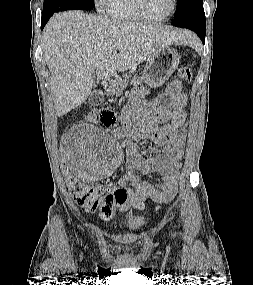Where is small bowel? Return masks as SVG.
<instances>
[{
	"instance_id": "1",
	"label": "small bowel",
	"mask_w": 253,
	"mask_h": 285,
	"mask_svg": "<svg viewBox=\"0 0 253 285\" xmlns=\"http://www.w3.org/2000/svg\"><path fill=\"white\" fill-rule=\"evenodd\" d=\"M147 92V87L143 86L134 89L122 117L117 109H100L102 117L99 121L103 122V126H120L121 118V127L113 132L126 148L127 173L116 185L128 189V200L121 205V209H142L148 200L167 203L174 198L180 182L179 169L187 121L183 108L188 97L177 80L169 83L165 92L152 101L142 99ZM142 139L154 143L148 154L138 149L137 143ZM136 172L143 175L159 173L162 181L153 183Z\"/></svg>"
}]
</instances>
